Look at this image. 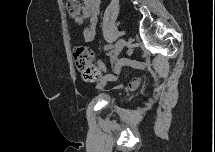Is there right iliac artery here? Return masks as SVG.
<instances>
[{
	"instance_id": "right-iliac-artery-1",
	"label": "right iliac artery",
	"mask_w": 215,
	"mask_h": 152,
	"mask_svg": "<svg viewBox=\"0 0 215 152\" xmlns=\"http://www.w3.org/2000/svg\"><path fill=\"white\" fill-rule=\"evenodd\" d=\"M113 47H114V46H110V45H109V46H106V47H105V50L112 49ZM112 51H113V50H111V52H112Z\"/></svg>"
}]
</instances>
